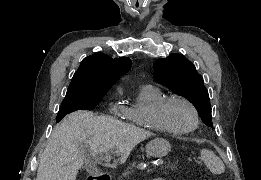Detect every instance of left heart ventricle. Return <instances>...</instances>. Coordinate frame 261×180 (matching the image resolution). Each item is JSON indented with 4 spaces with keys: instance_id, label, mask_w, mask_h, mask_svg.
Wrapping results in <instances>:
<instances>
[{
    "instance_id": "obj_1",
    "label": "left heart ventricle",
    "mask_w": 261,
    "mask_h": 180,
    "mask_svg": "<svg viewBox=\"0 0 261 180\" xmlns=\"http://www.w3.org/2000/svg\"><path fill=\"white\" fill-rule=\"evenodd\" d=\"M161 117L175 129H184L192 124L190 109L181 103H174L165 107L161 112Z\"/></svg>"
}]
</instances>
